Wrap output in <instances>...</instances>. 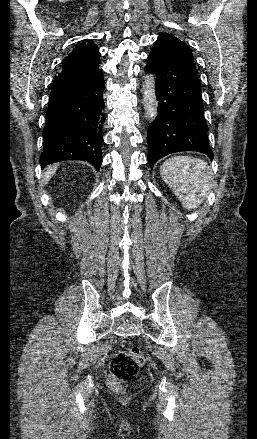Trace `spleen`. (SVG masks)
<instances>
[{"label":"spleen","instance_id":"1","mask_svg":"<svg viewBox=\"0 0 257 439\" xmlns=\"http://www.w3.org/2000/svg\"><path fill=\"white\" fill-rule=\"evenodd\" d=\"M160 175L188 210H193L202 203L213 180L208 164L191 156L167 159L160 167Z\"/></svg>","mask_w":257,"mask_h":439}]
</instances>
